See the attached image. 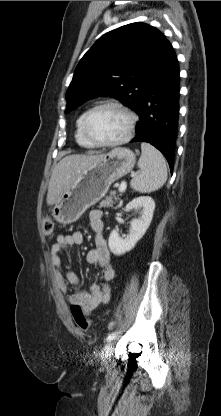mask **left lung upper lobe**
Returning <instances> with one entry per match:
<instances>
[{
	"mask_svg": "<svg viewBox=\"0 0 221 416\" xmlns=\"http://www.w3.org/2000/svg\"><path fill=\"white\" fill-rule=\"evenodd\" d=\"M166 42L159 30L139 22L104 34L74 72L65 113L98 96L117 97L137 112Z\"/></svg>",
	"mask_w": 221,
	"mask_h": 416,
	"instance_id": "left-lung-upper-lobe-1",
	"label": "left lung upper lobe"
}]
</instances>
